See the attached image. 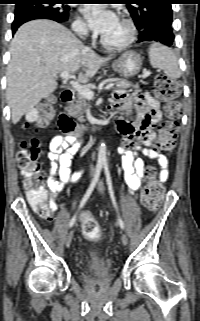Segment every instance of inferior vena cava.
Instances as JSON below:
<instances>
[{
    "instance_id": "obj_1",
    "label": "inferior vena cava",
    "mask_w": 200,
    "mask_h": 321,
    "mask_svg": "<svg viewBox=\"0 0 200 321\" xmlns=\"http://www.w3.org/2000/svg\"><path fill=\"white\" fill-rule=\"evenodd\" d=\"M93 171V167H92V165H91V172Z\"/></svg>"
}]
</instances>
